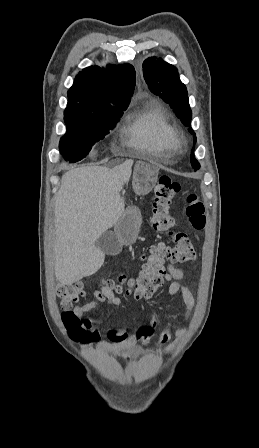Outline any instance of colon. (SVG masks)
<instances>
[{
  "label": "colon",
  "instance_id": "1",
  "mask_svg": "<svg viewBox=\"0 0 259 448\" xmlns=\"http://www.w3.org/2000/svg\"><path fill=\"white\" fill-rule=\"evenodd\" d=\"M180 192V184L168 176L159 178L152 203V225L160 232L169 233L172 244H159L142 256V268L136 277L120 275L117 280H107L105 286L113 292H125L137 299L151 297L163 283L164 262L184 263L194 259L195 250L189 237L183 232L173 231L176 220L171 214L170 205ZM186 215L190 226L202 231L206 223L205 206L195 193L187 197ZM85 294L84 285L76 282L58 288L57 295L65 309L63 323L69 336L75 341L86 337L83 321L71 310L74 304Z\"/></svg>",
  "mask_w": 259,
  "mask_h": 448
}]
</instances>
